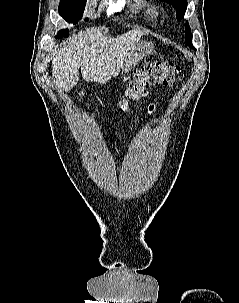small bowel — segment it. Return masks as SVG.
I'll return each instance as SVG.
<instances>
[{
  "label": "small bowel",
  "instance_id": "small-bowel-1",
  "mask_svg": "<svg viewBox=\"0 0 239 303\" xmlns=\"http://www.w3.org/2000/svg\"><path fill=\"white\" fill-rule=\"evenodd\" d=\"M154 109H155L154 105L151 104V105L148 107V112H149V113H153ZM117 144H118V141H112L111 146L114 147V146H117Z\"/></svg>",
  "mask_w": 239,
  "mask_h": 303
}]
</instances>
